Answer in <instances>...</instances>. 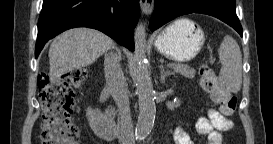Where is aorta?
Returning a JSON list of instances; mask_svg holds the SVG:
<instances>
[{"instance_id": "1", "label": "aorta", "mask_w": 273, "mask_h": 144, "mask_svg": "<svg viewBox=\"0 0 273 144\" xmlns=\"http://www.w3.org/2000/svg\"><path fill=\"white\" fill-rule=\"evenodd\" d=\"M134 58L136 62V91L138 94L139 117L135 129V137L138 141L144 140L152 131L155 115V91L148 71L146 57V30L145 25L140 23L134 32Z\"/></svg>"}]
</instances>
